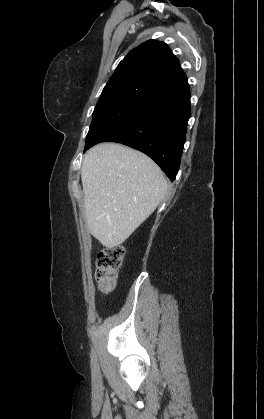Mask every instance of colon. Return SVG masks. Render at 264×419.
<instances>
[{
	"mask_svg": "<svg viewBox=\"0 0 264 419\" xmlns=\"http://www.w3.org/2000/svg\"><path fill=\"white\" fill-rule=\"evenodd\" d=\"M124 249L120 246L103 248L97 255L95 278L98 287L103 292L113 289L117 270L122 264Z\"/></svg>",
	"mask_w": 264,
	"mask_h": 419,
	"instance_id": "5ec220e1",
	"label": "colon"
}]
</instances>
